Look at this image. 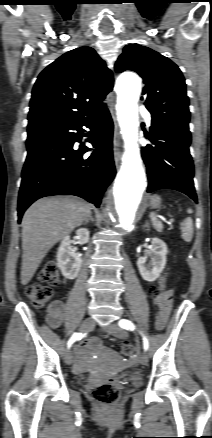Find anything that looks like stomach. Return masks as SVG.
Segmentation results:
<instances>
[{"label": "stomach", "mask_w": 212, "mask_h": 438, "mask_svg": "<svg viewBox=\"0 0 212 438\" xmlns=\"http://www.w3.org/2000/svg\"><path fill=\"white\" fill-rule=\"evenodd\" d=\"M149 205L152 208H158L161 205V198L158 195H153L149 198Z\"/></svg>", "instance_id": "obj_1"}]
</instances>
